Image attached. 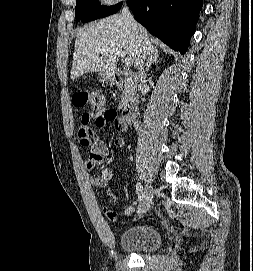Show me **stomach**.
Masks as SVG:
<instances>
[{
  "label": "stomach",
  "mask_w": 253,
  "mask_h": 271,
  "mask_svg": "<svg viewBox=\"0 0 253 271\" xmlns=\"http://www.w3.org/2000/svg\"><path fill=\"white\" fill-rule=\"evenodd\" d=\"M101 76L107 83H113L114 81L112 73H101Z\"/></svg>",
  "instance_id": "0dacf381"
}]
</instances>
